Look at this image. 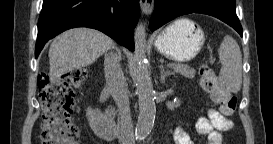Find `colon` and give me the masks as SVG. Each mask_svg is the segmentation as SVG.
Listing matches in <instances>:
<instances>
[{
    "mask_svg": "<svg viewBox=\"0 0 273 144\" xmlns=\"http://www.w3.org/2000/svg\"><path fill=\"white\" fill-rule=\"evenodd\" d=\"M201 86L224 116H231L237 106V98L227 92L218 81L215 70L209 65L200 68ZM86 78V70L73 68L57 80L47 75L39 79V99L44 108L41 141L43 144H76L78 127L72 121L74 110L73 87Z\"/></svg>",
    "mask_w": 273,
    "mask_h": 144,
    "instance_id": "colon-1",
    "label": "colon"
}]
</instances>
